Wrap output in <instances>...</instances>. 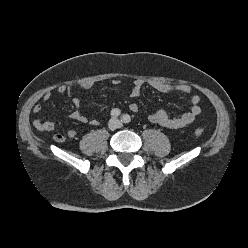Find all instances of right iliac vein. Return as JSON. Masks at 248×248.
<instances>
[{"mask_svg":"<svg viewBox=\"0 0 248 248\" xmlns=\"http://www.w3.org/2000/svg\"><path fill=\"white\" fill-rule=\"evenodd\" d=\"M114 126H115V122H114V121H110V123H109V128H110V129H113Z\"/></svg>","mask_w":248,"mask_h":248,"instance_id":"obj_1","label":"right iliac vein"}]
</instances>
